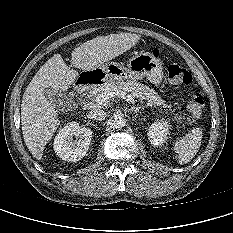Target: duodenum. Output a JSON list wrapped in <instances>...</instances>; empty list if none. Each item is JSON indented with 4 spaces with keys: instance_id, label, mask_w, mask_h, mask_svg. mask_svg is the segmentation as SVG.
Masks as SVG:
<instances>
[{
    "instance_id": "1",
    "label": "duodenum",
    "mask_w": 233,
    "mask_h": 233,
    "mask_svg": "<svg viewBox=\"0 0 233 233\" xmlns=\"http://www.w3.org/2000/svg\"><path fill=\"white\" fill-rule=\"evenodd\" d=\"M102 81V75L98 73H90L82 75L75 83L77 91H84L93 85L99 84Z\"/></svg>"
}]
</instances>
